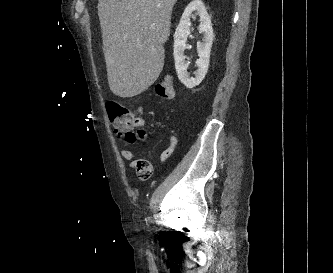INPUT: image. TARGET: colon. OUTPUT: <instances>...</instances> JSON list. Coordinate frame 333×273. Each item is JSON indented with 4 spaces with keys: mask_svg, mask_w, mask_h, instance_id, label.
Instances as JSON below:
<instances>
[{
    "mask_svg": "<svg viewBox=\"0 0 333 273\" xmlns=\"http://www.w3.org/2000/svg\"><path fill=\"white\" fill-rule=\"evenodd\" d=\"M157 95L165 100H171L174 97V87L171 77L166 76L155 86ZM107 111L115 133L124 138L129 143H134L143 136L139 128L138 120L135 114L116 102L107 103ZM135 170L140 180H147L152 174V165L148 160L139 159L136 161Z\"/></svg>",
    "mask_w": 333,
    "mask_h": 273,
    "instance_id": "5ec220e1",
    "label": "colon"
}]
</instances>
